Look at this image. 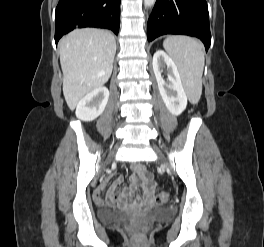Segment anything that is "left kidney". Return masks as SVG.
Here are the masks:
<instances>
[{
  "label": "left kidney",
  "instance_id": "left-kidney-1",
  "mask_svg": "<svg viewBox=\"0 0 264 247\" xmlns=\"http://www.w3.org/2000/svg\"><path fill=\"white\" fill-rule=\"evenodd\" d=\"M167 66L168 82H165L161 73ZM153 71L158 83L160 95L167 109L173 115H180L187 106V95L183 88L180 73L173 60L162 50L153 55Z\"/></svg>",
  "mask_w": 264,
  "mask_h": 247
}]
</instances>
